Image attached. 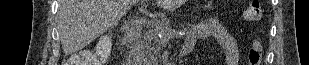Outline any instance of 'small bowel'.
<instances>
[{
	"mask_svg": "<svg viewBox=\"0 0 309 65\" xmlns=\"http://www.w3.org/2000/svg\"><path fill=\"white\" fill-rule=\"evenodd\" d=\"M209 37L214 38L224 49V65H237L239 53L236 41L215 18H210L190 28L183 50L192 51L198 40Z\"/></svg>",
	"mask_w": 309,
	"mask_h": 65,
	"instance_id": "1",
	"label": "small bowel"
}]
</instances>
